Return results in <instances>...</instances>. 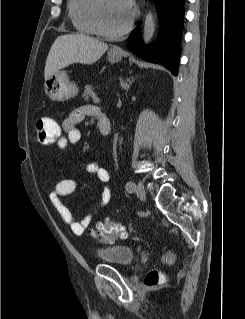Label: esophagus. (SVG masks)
<instances>
[{
    "label": "esophagus",
    "instance_id": "1",
    "mask_svg": "<svg viewBox=\"0 0 245 319\" xmlns=\"http://www.w3.org/2000/svg\"><path fill=\"white\" fill-rule=\"evenodd\" d=\"M115 51H117V52H121V50H120V49H115Z\"/></svg>",
    "mask_w": 245,
    "mask_h": 319
}]
</instances>
